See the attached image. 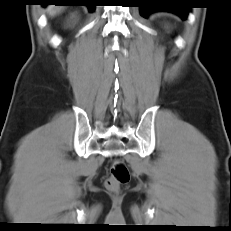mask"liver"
Here are the masks:
<instances>
[{
    "instance_id": "obj_1",
    "label": "liver",
    "mask_w": 231,
    "mask_h": 231,
    "mask_svg": "<svg viewBox=\"0 0 231 231\" xmlns=\"http://www.w3.org/2000/svg\"><path fill=\"white\" fill-rule=\"evenodd\" d=\"M63 10H64L63 7H61V6H55V5H49L47 7V9H46L47 13L50 16H55V15L61 13Z\"/></svg>"
}]
</instances>
